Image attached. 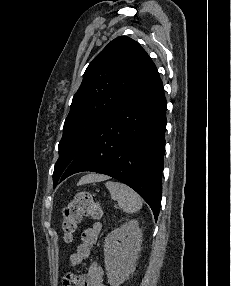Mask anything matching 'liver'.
Returning a JSON list of instances; mask_svg holds the SVG:
<instances>
[{
  "label": "liver",
  "mask_w": 231,
  "mask_h": 286,
  "mask_svg": "<svg viewBox=\"0 0 231 286\" xmlns=\"http://www.w3.org/2000/svg\"><path fill=\"white\" fill-rule=\"evenodd\" d=\"M105 178L106 177L103 175L89 174L87 176L82 177L80 181L78 182V185H83V184H87V183H91L95 181H101V180H104Z\"/></svg>",
  "instance_id": "1"
}]
</instances>
